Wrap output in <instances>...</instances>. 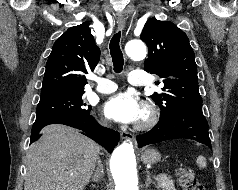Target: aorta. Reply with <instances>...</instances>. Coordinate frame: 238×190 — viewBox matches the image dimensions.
I'll use <instances>...</instances> for the list:
<instances>
[{"label":"aorta","mask_w":238,"mask_h":190,"mask_svg":"<svg viewBox=\"0 0 238 190\" xmlns=\"http://www.w3.org/2000/svg\"><path fill=\"white\" fill-rule=\"evenodd\" d=\"M127 55L134 60L146 57V46L141 40H131L125 47ZM110 169L115 181V190H138L136 159L133 145L123 142L112 153Z\"/></svg>","instance_id":"1"}]
</instances>
